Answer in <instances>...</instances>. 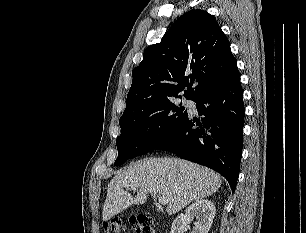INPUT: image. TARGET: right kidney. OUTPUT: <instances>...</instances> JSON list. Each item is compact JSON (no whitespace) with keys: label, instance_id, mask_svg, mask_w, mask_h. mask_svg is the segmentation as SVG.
Returning <instances> with one entry per match:
<instances>
[{"label":"right kidney","instance_id":"right-kidney-1","mask_svg":"<svg viewBox=\"0 0 306 233\" xmlns=\"http://www.w3.org/2000/svg\"><path fill=\"white\" fill-rule=\"evenodd\" d=\"M216 213L213 202L207 199L197 200L184 214L178 215L172 223L170 233H183L194 217L198 220L192 233H208Z\"/></svg>","mask_w":306,"mask_h":233}]
</instances>
